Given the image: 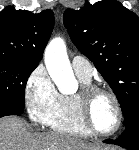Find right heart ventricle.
Masks as SVG:
<instances>
[{"label": "right heart ventricle", "instance_id": "e07e8e85", "mask_svg": "<svg viewBox=\"0 0 139 150\" xmlns=\"http://www.w3.org/2000/svg\"><path fill=\"white\" fill-rule=\"evenodd\" d=\"M78 78L83 86L91 84V80L79 76ZM46 125L55 132L81 137L92 135L81 121L77 94H59L56 103L47 117Z\"/></svg>", "mask_w": 139, "mask_h": 150}]
</instances>
